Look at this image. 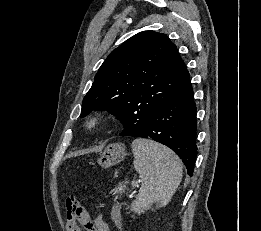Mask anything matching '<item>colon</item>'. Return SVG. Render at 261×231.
<instances>
[{
	"label": "colon",
	"mask_w": 261,
	"mask_h": 231,
	"mask_svg": "<svg viewBox=\"0 0 261 231\" xmlns=\"http://www.w3.org/2000/svg\"><path fill=\"white\" fill-rule=\"evenodd\" d=\"M112 219L119 228L120 216L117 209L114 210ZM66 220L78 223L85 231H95L92 220L88 217L85 208L73 196L68 197L66 200Z\"/></svg>",
	"instance_id": "colon-1"
}]
</instances>
